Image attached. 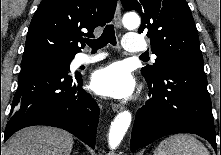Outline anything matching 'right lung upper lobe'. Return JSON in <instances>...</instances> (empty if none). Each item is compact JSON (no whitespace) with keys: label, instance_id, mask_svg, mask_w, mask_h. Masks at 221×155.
I'll return each instance as SVG.
<instances>
[{"label":"right lung upper lobe","instance_id":"right-lung-upper-lobe-1","mask_svg":"<svg viewBox=\"0 0 221 155\" xmlns=\"http://www.w3.org/2000/svg\"><path fill=\"white\" fill-rule=\"evenodd\" d=\"M117 0H42L26 38L23 58L55 54L74 57L97 26L113 18ZM87 32V33H85Z\"/></svg>","mask_w":221,"mask_h":155}]
</instances>
